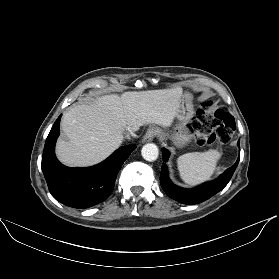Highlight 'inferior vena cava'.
Wrapping results in <instances>:
<instances>
[{
  "label": "inferior vena cava",
  "instance_id": "inferior-vena-cava-1",
  "mask_svg": "<svg viewBox=\"0 0 279 279\" xmlns=\"http://www.w3.org/2000/svg\"><path fill=\"white\" fill-rule=\"evenodd\" d=\"M134 131H135V130H133L132 128L128 127V128H127V135H126V137H127L128 139H130V135L133 136V137H135Z\"/></svg>",
  "mask_w": 279,
  "mask_h": 279
}]
</instances>
